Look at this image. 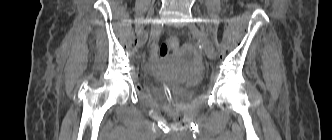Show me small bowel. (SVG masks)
<instances>
[{"label":"small bowel","instance_id":"obj_1","mask_svg":"<svg viewBox=\"0 0 332 140\" xmlns=\"http://www.w3.org/2000/svg\"><path fill=\"white\" fill-rule=\"evenodd\" d=\"M152 49H153L152 51L154 52V51H155V46H153V48H152Z\"/></svg>","mask_w":332,"mask_h":140}]
</instances>
